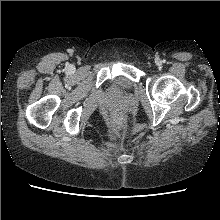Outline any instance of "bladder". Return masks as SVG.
<instances>
[{"label": "bladder", "mask_w": 220, "mask_h": 220, "mask_svg": "<svg viewBox=\"0 0 220 220\" xmlns=\"http://www.w3.org/2000/svg\"><path fill=\"white\" fill-rule=\"evenodd\" d=\"M119 87L122 90H128L131 88V82L128 79H121V81L119 83Z\"/></svg>", "instance_id": "obj_1"}]
</instances>
